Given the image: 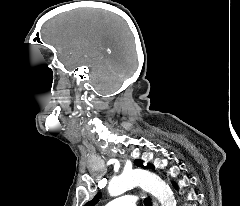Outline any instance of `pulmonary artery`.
I'll use <instances>...</instances> for the list:
<instances>
[{
  "mask_svg": "<svg viewBox=\"0 0 240 206\" xmlns=\"http://www.w3.org/2000/svg\"><path fill=\"white\" fill-rule=\"evenodd\" d=\"M136 197L133 195H123L111 200L105 206H136Z\"/></svg>",
  "mask_w": 240,
  "mask_h": 206,
  "instance_id": "pulmonary-artery-1",
  "label": "pulmonary artery"
}]
</instances>
